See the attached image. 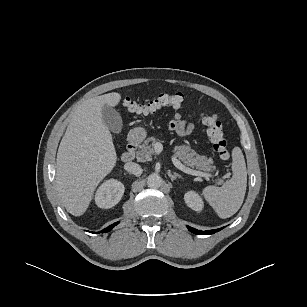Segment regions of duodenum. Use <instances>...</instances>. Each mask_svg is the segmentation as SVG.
Here are the masks:
<instances>
[{
	"label": "duodenum",
	"instance_id": "1",
	"mask_svg": "<svg viewBox=\"0 0 307 307\" xmlns=\"http://www.w3.org/2000/svg\"><path fill=\"white\" fill-rule=\"evenodd\" d=\"M140 136L138 134H132L128 139L127 150L122 154L121 159L123 162H131L135 158L136 149Z\"/></svg>",
	"mask_w": 307,
	"mask_h": 307
}]
</instances>
